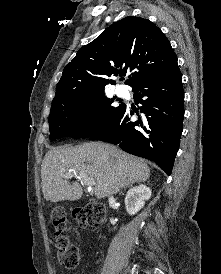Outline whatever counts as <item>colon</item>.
I'll use <instances>...</instances> for the list:
<instances>
[{
    "label": "colon",
    "mask_w": 221,
    "mask_h": 274,
    "mask_svg": "<svg viewBox=\"0 0 221 274\" xmlns=\"http://www.w3.org/2000/svg\"><path fill=\"white\" fill-rule=\"evenodd\" d=\"M73 216L82 227H99L105 219V209L99 203L76 208ZM51 224L56 233L58 260L67 269H74L80 262L79 249L69 242L65 235L67 227V211L63 206H55L50 215Z\"/></svg>",
    "instance_id": "5ec220e1"
}]
</instances>
